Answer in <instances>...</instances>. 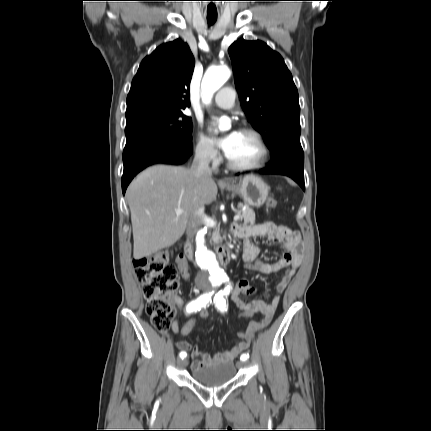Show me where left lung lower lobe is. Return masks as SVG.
<instances>
[{
    "instance_id": "obj_1",
    "label": "left lung lower lobe",
    "mask_w": 431,
    "mask_h": 431,
    "mask_svg": "<svg viewBox=\"0 0 431 431\" xmlns=\"http://www.w3.org/2000/svg\"><path fill=\"white\" fill-rule=\"evenodd\" d=\"M270 167L259 171L261 174H282L294 179L303 190L304 184V153L284 151L269 162ZM239 174V173H238Z\"/></svg>"
}]
</instances>
